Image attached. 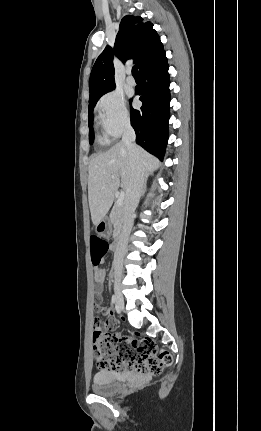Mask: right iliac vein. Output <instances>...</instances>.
Wrapping results in <instances>:
<instances>
[{
    "mask_svg": "<svg viewBox=\"0 0 261 431\" xmlns=\"http://www.w3.org/2000/svg\"><path fill=\"white\" fill-rule=\"evenodd\" d=\"M115 298L117 309L121 312L124 309V298L121 292V283L119 279L115 280L114 284Z\"/></svg>",
    "mask_w": 261,
    "mask_h": 431,
    "instance_id": "obj_1",
    "label": "right iliac vein"
}]
</instances>
